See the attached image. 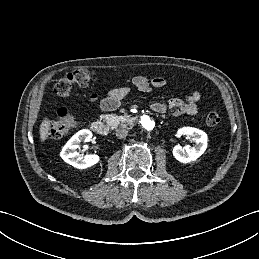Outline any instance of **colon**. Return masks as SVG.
Wrapping results in <instances>:
<instances>
[{
  "label": "colon",
  "mask_w": 259,
  "mask_h": 259,
  "mask_svg": "<svg viewBox=\"0 0 259 259\" xmlns=\"http://www.w3.org/2000/svg\"><path fill=\"white\" fill-rule=\"evenodd\" d=\"M93 80V73L88 69H78L67 73L54 87L55 93L60 97H68L74 86H88ZM221 117L216 111H211L206 116V123L209 126H216L220 123ZM74 125L73 116L65 108L58 110V120L53 121L49 126L48 135L53 139L65 136Z\"/></svg>",
  "instance_id": "5ec220e1"
}]
</instances>
